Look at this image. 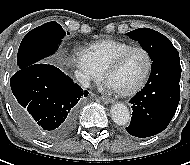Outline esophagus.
Here are the masks:
<instances>
[{
    "mask_svg": "<svg viewBox=\"0 0 190 165\" xmlns=\"http://www.w3.org/2000/svg\"><path fill=\"white\" fill-rule=\"evenodd\" d=\"M100 100H101L103 103H105V104H109V103H112V102H113V99L108 98V97H104V96L100 97Z\"/></svg>",
    "mask_w": 190,
    "mask_h": 165,
    "instance_id": "obj_1",
    "label": "esophagus"
}]
</instances>
